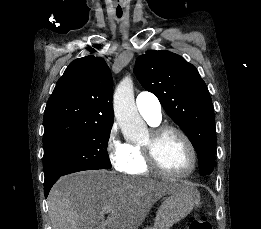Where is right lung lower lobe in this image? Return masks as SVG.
Listing matches in <instances>:
<instances>
[{"label": "right lung lower lobe", "mask_w": 261, "mask_h": 229, "mask_svg": "<svg viewBox=\"0 0 261 229\" xmlns=\"http://www.w3.org/2000/svg\"><path fill=\"white\" fill-rule=\"evenodd\" d=\"M61 177V176H60ZM60 177H56L48 182L45 183V186H44V194H45V197L48 196V193L51 189V187L54 185V183L60 178Z\"/></svg>", "instance_id": "1"}]
</instances>
